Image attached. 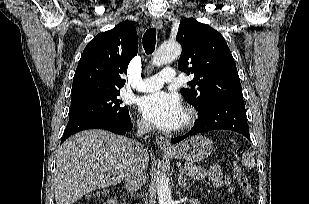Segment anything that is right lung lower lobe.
Returning <instances> with one entry per match:
<instances>
[{"instance_id":"1","label":"right lung lower lobe","mask_w":309,"mask_h":204,"mask_svg":"<svg viewBox=\"0 0 309 204\" xmlns=\"http://www.w3.org/2000/svg\"><path fill=\"white\" fill-rule=\"evenodd\" d=\"M131 128L130 117L126 121H119L102 115H84L68 121L61 143L69 136L86 129H104L123 135L129 132Z\"/></svg>"}]
</instances>
